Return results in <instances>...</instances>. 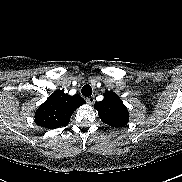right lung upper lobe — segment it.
<instances>
[{"mask_svg":"<svg viewBox=\"0 0 182 182\" xmlns=\"http://www.w3.org/2000/svg\"><path fill=\"white\" fill-rule=\"evenodd\" d=\"M86 101L78 94L70 96L55 91L35 112V123L41 127L55 129L68 125L73 112Z\"/></svg>","mask_w":182,"mask_h":182,"instance_id":"right-lung-upper-lobe-1","label":"right lung upper lobe"}]
</instances>
